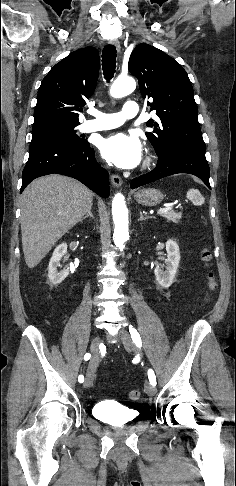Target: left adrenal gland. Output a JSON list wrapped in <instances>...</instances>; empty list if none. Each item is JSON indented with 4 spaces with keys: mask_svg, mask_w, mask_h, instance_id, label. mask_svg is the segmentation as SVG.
<instances>
[{
    "mask_svg": "<svg viewBox=\"0 0 236 486\" xmlns=\"http://www.w3.org/2000/svg\"><path fill=\"white\" fill-rule=\"evenodd\" d=\"M148 218H150V217H149V216H145V217H144V216H143V213L140 211V218H139V220H138V221H143V220H146V219H148Z\"/></svg>",
    "mask_w": 236,
    "mask_h": 486,
    "instance_id": "a2214340",
    "label": "left adrenal gland"
}]
</instances>
